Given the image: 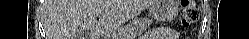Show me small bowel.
<instances>
[{"label":"small bowel","mask_w":249,"mask_h":39,"mask_svg":"<svg viewBox=\"0 0 249 39\" xmlns=\"http://www.w3.org/2000/svg\"><path fill=\"white\" fill-rule=\"evenodd\" d=\"M173 32L172 29L166 27L156 28L147 32L144 39H168Z\"/></svg>","instance_id":"1"}]
</instances>
